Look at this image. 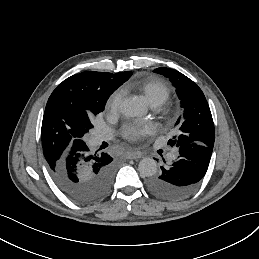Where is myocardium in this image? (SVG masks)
Listing matches in <instances>:
<instances>
[{
  "mask_svg": "<svg viewBox=\"0 0 259 259\" xmlns=\"http://www.w3.org/2000/svg\"><path fill=\"white\" fill-rule=\"evenodd\" d=\"M159 112L162 114L166 125H169L173 122L175 118V113L173 111L166 110V109H159Z\"/></svg>",
  "mask_w": 259,
  "mask_h": 259,
  "instance_id": "f54148a6",
  "label": "myocardium"
}]
</instances>
